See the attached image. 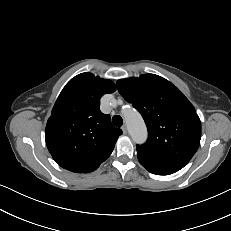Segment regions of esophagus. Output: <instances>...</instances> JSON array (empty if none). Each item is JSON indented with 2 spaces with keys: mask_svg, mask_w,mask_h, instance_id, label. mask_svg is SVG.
<instances>
[{
  "mask_svg": "<svg viewBox=\"0 0 231 231\" xmlns=\"http://www.w3.org/2000/svg\"><path fill=\"white\" fill-rule=\"evenodd\" d=\"M122 131H123V134H127V127H126V125L122 126Z\"/></svg>",
  "mask_w": 231,
  "mask_h": 231,
  "instance_id": "obj_1",
  "label": "esophagus"
}]
</instances>
